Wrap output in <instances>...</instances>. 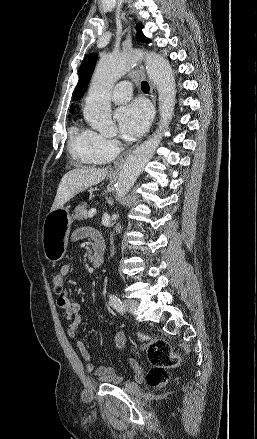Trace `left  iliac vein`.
Instances as JSON below:
<instances>
[{"mask_svg": "<svg viewBox=\"0 0 257 439\" xmlns=\"http://www.w3.org/2000/svg\"><path fill=\"white\" fill-rule=\"evenodd\" d=\"M125 308L128 312L134 313L138 310L139 303L136 300L129 299L124 302Z\"/></svg>", "mask_w": 257, "mask_h": 439, "instance_id": "left-iliac-vein-1", "label": "left iliac vein"}]
</instances>
